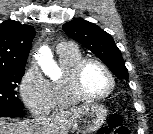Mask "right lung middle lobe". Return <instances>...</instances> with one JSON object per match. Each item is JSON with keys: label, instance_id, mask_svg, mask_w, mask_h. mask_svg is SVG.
<instances>
[{"label": "right lung middle lobe", "instance_id": "obj_1", "mask_svg": "<svg viewBox=\"0 0 153 134\" xmlns=\"http://www.w3.org/2000/svg\"><path fill=\"white\" fill-rule=\"evenodd\" d=\"M22 69H0V108L22 109L16 87L24 75Z\"/></svg>", "mask_w": 153, "mask_h": 134}]
</instances>
